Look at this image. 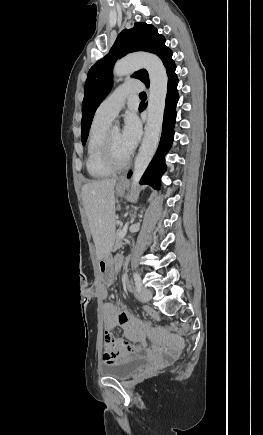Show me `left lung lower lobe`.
<instances>
[{
    "mask_svg": "<svg viewBox=\"0 0 263 435\" xmlns=\"http://www.w3.org/2000/svg\"><path fill=\"white\" fill-rule=\"evenodd\" d=\"M175 63L172 60L167 66L166 71L168 75V92L166 96V106L164 111V121L160 144L158 150L141 178L140 184H148L154 189L160 188L161 175L165 171V155L171 147L173 141V128L176 120V104L178 101L177 84L178 79L175 74ZM148 87V85H147ZM144 109L140 107V111ZM132 172L128 173L130 178Z\"/></svg>",
    "mask_w": 263,
    "mask_h": 435,
    "instance_id": "1",
    "label": "left lung lower lobe"
}]
</instances>
